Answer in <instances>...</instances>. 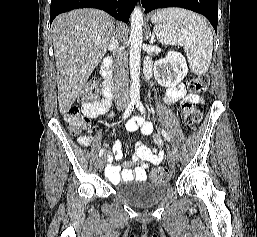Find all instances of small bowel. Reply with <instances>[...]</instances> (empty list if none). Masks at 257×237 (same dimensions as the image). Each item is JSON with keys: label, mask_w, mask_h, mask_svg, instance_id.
I'll list each match as a JSON object with an SVG mask.
<instances>
[{"label": "small bowel", "mask_w": 257, "mask_h": 237, "mask_svg": "<svg viewBox=\"0 0 257 237\" xmlns=\"http://www.w3.org/2000/svg\"><path fill=\"white\" fill-rule=\"evenodd\" d=\"M200 97L194 94H188L184 85L169 88L166 92L165 101L167 103H184V102H199ZM110 102L107 99L85 102L82 105L83 113L89 118H96L106 114L109 110ZM141 128L143 134L148 135L152 132V125L145 122L142 118H132L127 123V129L135 131ZM82 145H89L91 138L83 136L79 138ZM157 144H161L159 138H155ZM123 152L121 144L115 141L112 146V152L107 155L108 164L105 169V174L113 184H118L123 180H145L146 171L150 165L159 164L164 157L163 149L150 148L142 143H137L132 158L129 162H125L123 167L113 165V159L119 160L122 158ZM132 166H135L132 168Z\"/></svg>", "instance_id": "1"}]
</instances>
